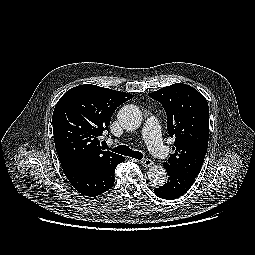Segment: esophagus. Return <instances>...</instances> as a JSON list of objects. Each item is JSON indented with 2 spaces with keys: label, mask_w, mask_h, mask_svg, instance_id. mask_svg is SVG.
I'll return each instance as SVG.
<instances>
[{
  "label": "esophagus",
  "mask_w": 255,
  "mask_h": 255,
  "mask_svg": "<svg viewBox=\"0 0 255 255\" xmlns=\"http://www.w3.org/2000/svg\"><path fill=\"white\" fill-rule=\"evenodd\" d=\"M141 164L145 167H151L153 165V161L149 158H145L141 161Z\"/></svg>",
  "instance_id": "1"
}]
</instances>
